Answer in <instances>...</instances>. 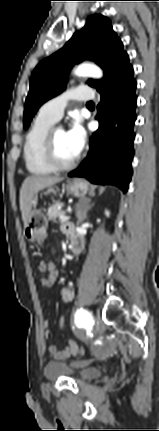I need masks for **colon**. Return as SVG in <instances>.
<instances>
[{
	"mask_svg": "<svg viewBox=\"0 0 159 431\" xmlns=\"http://www.w3.org/2000/svg\"><path fill=\"white\" fill-rule=\"evenodd\" d=\"M47 266H48V272H49V275H52V273L53 272H55V270H56V264H55V262L52 260V259H49L48 261H47ZM57 282V279L54 277V276H51L50 278H49V283L51 284V285H54L55 283ZM62 318H61V320L59 321V333H64V328H65V326H66V319H67V314H62V316H61ZM84 347H79V353H78V358H82L83 356H84Z\"/></svg>",
	"mask_w": 159,
	"mask_h": 431,
	"instance_id": "colon-1",
	"label": "colon"
}]
</instances>
